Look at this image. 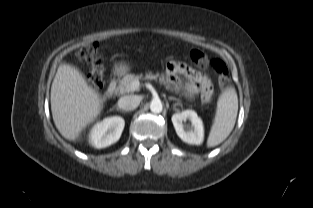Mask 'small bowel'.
<instances>
[{
  "label": "small bowel",
  "instance_id": "1",
  "mask_svg": "<svg viewBox=\"0 0 313 208\" xmlns=\"http://www.w3.org/2000/svg\"><path fill=\"white\" fill-rule=\"evenodd\" d=\"M166 70L172 83L177 87H182L187 94H200L204 101L211 99L213 86L209 78L203 73L176 61H170ZM180 76L186 78L184 84L181 82Z\"/></svg>",
  "mask_w": 313,
  "mask_h": 208
}]
</instances>
